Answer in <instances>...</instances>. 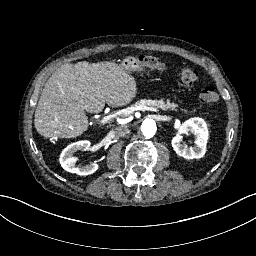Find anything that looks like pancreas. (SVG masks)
<instances>
[{
    "mask_svg": "<svg viewBox=\"0 0 256 256\" xmlns=\"http://www.w3.org/2000/svg\"><path fill=\"white\" fill-rule=\"evenodd\" d=\"M147 105L154 106L156 108H160L162 110H175L177 107V104L175 103H170L168 100L167 102H164L163 100H151V101H146Z\"/></svg>",
    "mask_w": 256,
    "mask_h": 256,
    "instance_id": "pancreas-1",
    "label": "pancreas"
}]
</instances>
